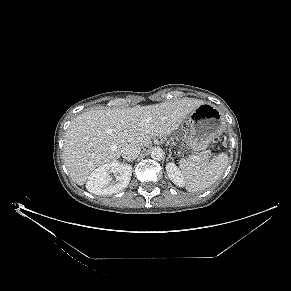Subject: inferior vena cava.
<instances>
[{
    "label": "inferior vena cava",
    "instance_id": "inferior-vena-cava-1",
    "mask_svg": "<svg viewBox=\"0 0 291 291\" xmlns=\"http://www.w3.org/2000/svg\"><path fill=\"white\" fill-rule=\"evenodd\" d=\"M141 152V148L136 145H126L122 148V157L127 161L135 160Z\"/></svg>",
    "mask_w": 291,
    "mask_h": 291
}]
</instances>
